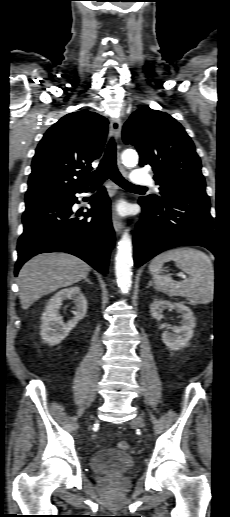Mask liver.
Listing matches in <instances>:
<instances>
[{"mask_svg": "<svg viewBox=\"0 0 230 517\" xmlns=\"http://www.w3.org/2000/svg\"><path fill=\"white\" fill-rule=\"evenodd\" d=\"M91 267L68 253H45L27 261L19 271V299L28 309L44 295L85 279Z\"/></svg>", "mask_w": 230, "mask_h": 517, "instance_id": "1", "label": "liver"}]
</instances>
